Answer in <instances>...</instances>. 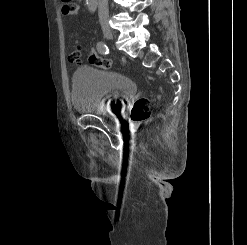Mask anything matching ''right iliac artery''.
<instances>
[{
    "instance_id": "82829eb1",
    "label": "right iliac artery",
    "mask_w": 247,
    "mask_h": 245,
    "mask_svg": "<svg viewBox=\"0 0 247 245\" xmlns=\"http://www.w3.org/2000/svg\"><path fill=\"white\" fill-rule=\"evenodd\" d=\"M97 50L100 54H103V55H106L109 53V49L107 45L102 41L97 43Z\"/></svg>"
}]
</instances>
